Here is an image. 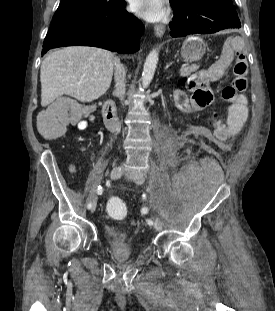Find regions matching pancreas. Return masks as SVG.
<instances>
[{"label": "pancreas", "mask_w": 275, "mask_h": 311, "mask_svg": "<svg viewBox=\"0 0 275 311\" xmlns=\"http://www.w3.org/2000/svg\"><path fill=\"white\" fill-rule=\"evenodd\" d=\"M199 68L198 65H191V66H186L182 67L180 70L181 76H188L191 74V72L196 71Z\"/></svg>", "instance_id": "1"}]
</instances>
